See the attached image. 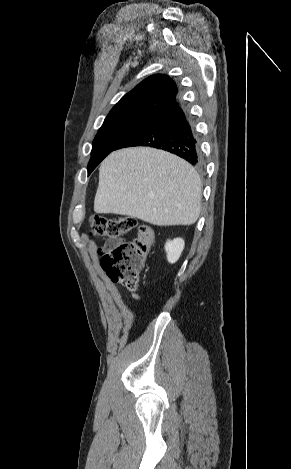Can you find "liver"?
<instances>
[{
	"label": "liver",
	"instance_id": "6515ba94",
	"mask_svg": "<svg viewBox=\"0 0 291 469\" xmlns=\"http://www.w3.org/2000/svg\"><path fill=\"white\" fill-rule=\"evenodd\" d=\"M201 196V180L185 160L154 148H126L101 163L94 210L157 226L191 225Z\"/></svg>",
	"mask_w": 291,
	"mask_h": 469
}]
</instances>
